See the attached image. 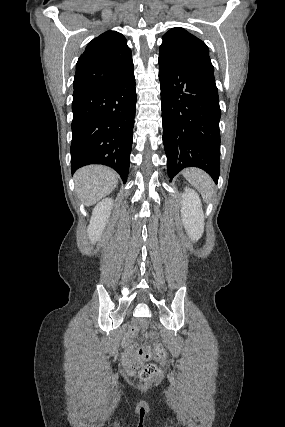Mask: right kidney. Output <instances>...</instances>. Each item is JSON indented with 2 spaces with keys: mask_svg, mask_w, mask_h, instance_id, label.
<instances>
[{
  "mask_svg": "<svg viewBox=\"0 0 285 427\" xmlns=\"http://www.w3.org/2000/svg\"><path fill=\"white\" fill-rule=\"evenodd\" d=\"M112 204L113 201L111 198H105L93 209L90 224L87 229L88 237L92 243L99 240L110 215Z\"/></svg>",
  "mask_w": 285,
  "mask_h": 427,
  "instance_id": "right-kidney-1",
  "label": "right kidney"
}]
</instances>
